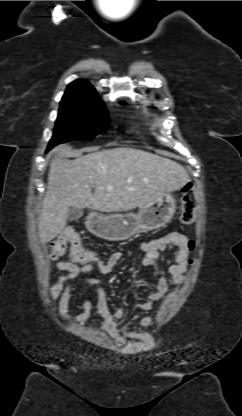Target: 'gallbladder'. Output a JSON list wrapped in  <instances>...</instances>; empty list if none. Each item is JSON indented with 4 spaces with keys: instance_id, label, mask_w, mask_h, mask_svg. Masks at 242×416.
<instances>
[{
    "instance_id": "bac80fb5",
    "label": "gallbladder",
    "mask_w": 242,
    "mask_h": 416,
    "mask_svg": "<svg viewBox=\"0 0 242 416\" xmlns=\"http://www.w3.org/2000/svg\"><path fill=\"white\" fill-rule=\"evenodd\" d=\"M83 215V209L77 208V207H69L68 209V219L73 221L77 220Z\"/></svg>"
}]
</instances>
